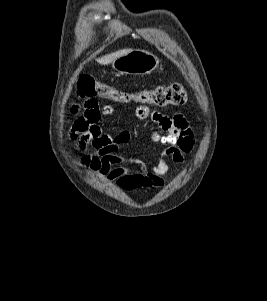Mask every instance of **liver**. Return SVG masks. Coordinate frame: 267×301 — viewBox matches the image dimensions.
<instances>
[{
	"instance_id": "obj_1",
	"label": "liver",
	"mask_w": 267,
	"mask_h": 301,
	"mask_svg": "<svg viewBox=\"0 0 267 301\" xmlns=\"http://www.w3.org/2000/svg\"><path fill=\"white\" fill-rule=\"evenodd\" d=\"M130 51H132V50L131 49L119 50V51H116L114 53L105 55V56L97 59V62L101 65H108V64L112 63L113 61H115L117 58H119L123 55H126Z\"/></svg>"
}]
</instances>
